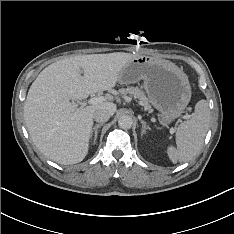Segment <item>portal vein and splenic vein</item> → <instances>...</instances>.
<instances>
[{
  "label": "portal vein and splenic vein",
  "mask_w": 234,
  "mask_h": 234,
  "mask_svg": "<svg viewBox=\"0 0 234 234\" xmlns=\"http://www.w3.org/2000/svg\"><path fill=\"white\" fill-rule=\"evenodd\" d=\"M106 100H107V97H104V96L94 97L88 100V104H91V105L100 104ZM185 117L190 118V115H186Z\"/></svg>",
  "instance_id": "obj_1"
}]
</instances>
